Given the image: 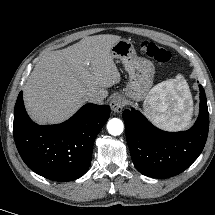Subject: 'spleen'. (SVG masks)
Masks as SVG:
<instances>
[{
	"label": "spleen",
	"instance_id": "1",
	"mask_svg": "<svg viewBox=\"0 0 215 215\" xmlns=\"http://www.w3.org/2000/svg\"><path fill=\"white\" fill-rule=\"evenodd\" d=\"M144 112L166 130H181L190 124L192 100L182 75L157 84L144 102Z\"/></svg>",
	"mask_w": 215,
	"mask_h": 215
}]
</instances>
